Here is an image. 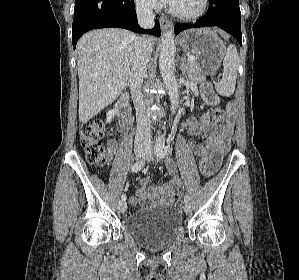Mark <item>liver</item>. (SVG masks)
Returning <instances> with one entry per match:
<instances>
[{
	"instance_id": "obj_1",
	"label": "liver",
	"mask_w": 299,
	"mask_h": 280,
	"mask_svg": "<svg viewBox=\"0 0 299 280\" xmlns=\"http://www.w3.org/2000/svg\"><path fill=\"white\" fill-rule=\"evenodd\" d=\"M139 38L108 28L84 34L77 44L79 120L86 123L111 104L125 88ZM154 45V39L149 38Z\"/></svg>"
}]
</instances>
